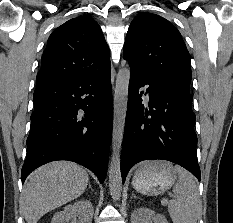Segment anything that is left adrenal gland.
I'll return each instance as SVG.
<instances>
[{"label": "left adrenal gland", "instance_id": "left-adrenal-gland-1", "mask_svg": "<svg viewBox=\"0 0 233 223\" xmlns=\"http://www.w3.org/2000/svg\"><path fill=\"white\" fill-rule=\"evenodd\" d=\"M132 197H136L135 193H132Z\"/></svg>", "mask_w": 233, "mask_h": 223}]
</instances>
